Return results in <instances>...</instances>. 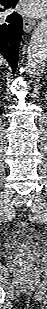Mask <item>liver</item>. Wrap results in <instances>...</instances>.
Listing matches in <instances>:
<instances>
[{"label":"liver","instance_id":"1","mask_svg":"<svg viewBox=\"0 0 47 309\" xmlns=\"http://www.w3.org/2000/svg\"><path fill=\"white\" fill-rule=\"evenodd\" d=\"M2 63H3V58L1 57V58H0V64H2Z\"/></svg>","mask_w":47,"mask_h":309}]
</instances>
